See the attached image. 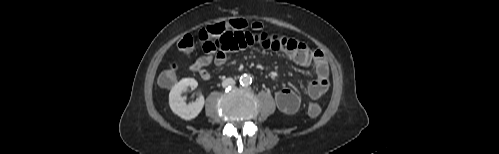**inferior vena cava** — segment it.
<instances>
[{
	"mask_svg": "<svg viewBox=\"0 0 499 154\" xmlns=\"http://www.w3.org/2000/svg\"><path fill=\"white\" fill-rule=\"evenodd\" d=\"M235 84V80L233 78H227L223 80L222 86L223 87H228V86H233Z\"/></svg>",
	"mask_w": 499,
	"mask_h": 154,
	"instance_id": "1",
	"label": "inferior vena cava"
}]
</instances>
